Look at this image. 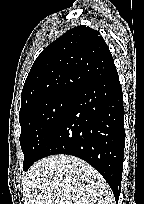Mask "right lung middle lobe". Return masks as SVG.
<instances>
[{"label": "right lung middle lobe", "mask_w": 144, "mask_h": 204, "mask_svg": "<svg viewBox=\"0 0 144 204\" xmlns=\"http://www.w3.org/2000/svg\"><path fill=\"white\" fill-rule=\"evenodd\" d=\"M75 96L76 94L71 93L57 94L19 113V140L24 153V171L39 159L43 145L62 120Z\"/></svg>", "instance_id": "1"}]
</instances>
